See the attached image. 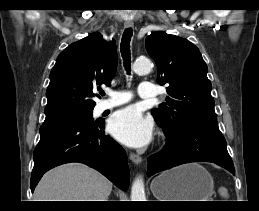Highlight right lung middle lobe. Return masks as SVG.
Instances as JSON below:
<instances>
[{"label": "right lung middle lobe", "mask_w": 259, "mask_h": 211, "mask_svg": "<svg viewBox=\"0 0 259 211\" xmlns=\"http://www.w3.org/2000/svg\"><path fill=\"white\" fill-rule=\"evenodd\" d=\"M67 119L76 120V121H80V122H83V123L93 122L92 111L82 113V114H78V115H74V116L69 117Z\"/></svg>", "instance_id": "obj_1"}]
</instances>
